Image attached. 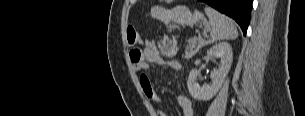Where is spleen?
<instances>
[{
  "label": "spleen",
  "mask_w": 305,
  "mask_h": 116,
  "mask_svg": "<svg viewBox=\"0 0 305 116\" xmlns=\"http://www.w3.org/2000/svg\"><path fill=\"white\" fill-rule=\"evenodd\" d=\"M205 13L209 18L210 35L206 44L220 40H233L238 37V31L234 21L228 16L211 7H205Z\"/></svg>",
  "instance_id": "1"
}]
</instances>
